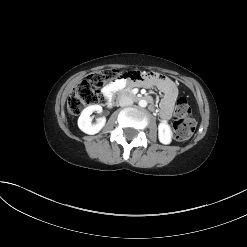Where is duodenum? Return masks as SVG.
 Returning a JSON list of instances; mask_svg holds the SVG:
<instances>
[{"instance_id":"duodenum-1","label":"duodenum","mask_w":247,"mask_h":247,"mask_svg":"<svg viewBox=\"0 0 247 247\" xmlns=\"http://www.w3.org/2000/svg\"><path fill=\"white\" fill-rule=\"evenodd\" d=\"M123 94L125 96H131L132 92L128 91V90H124V89H121L119 92H116L115 95H114L113 101H112V104H113L114 107L118 106L119 98ZM132 98H134L136 100H145L147 102H152V98L150 96H148V95H133Z\"/></svg>"}]
</instances>
